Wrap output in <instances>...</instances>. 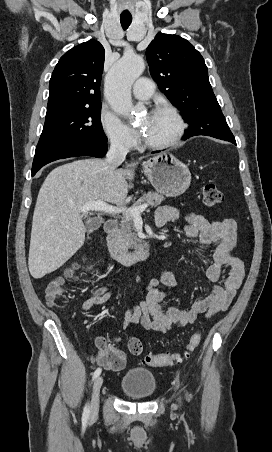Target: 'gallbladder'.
I'll list each match as a JSON object with an SVG mask.
<instances>
[{
    "mask_svg": "<svg viewBox=\"0 0 272 452\" xmlns=\"http://www.w3.org/2000/svg\"><path fill=\"white\" fill-rule=\"evenodd\" d=\"M101 225V222L99 220H93L90 224L87 226V231L92 232L96 229H98Z\"/></svg>",
    "mask_w": 272,
    "mask_h": 452,
    "instance_id": "gallbladder-1",
    "label": "gallbladder"
}]
</instances>
